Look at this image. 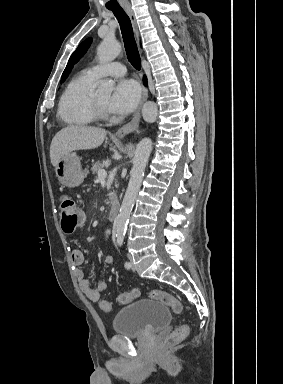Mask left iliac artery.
<instances>
[{"label":"left iliac artery","mask_w":283,"mask_h":384,"mask_svg":"<svg viewBox=\"0 0 283 384\" xmlns=\"http://www.w3.org/2000/svg\"><path fill=\"white\" fill-rule=\"evenodd\" d=\"M117 243L118 245L121 247L123 245V237H118L117 238ZM125 268L129 269L131 267V264L130 262L126 261L125 264H124Z\"/></svg>","instance_id":"1"}]
</instances>
